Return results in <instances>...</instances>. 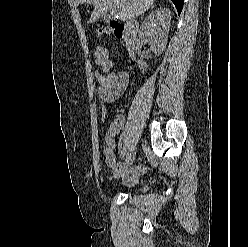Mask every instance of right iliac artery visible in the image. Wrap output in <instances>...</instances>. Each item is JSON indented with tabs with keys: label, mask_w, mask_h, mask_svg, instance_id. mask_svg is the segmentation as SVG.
I'll return each mask as SVG.
<instances>
[{
	"label": "right iliac artery",
	"mask_w": 248,
	"mask_h": 247,
	"mask_svg": "<svg viewBox=\"0 0 248 247\" xmlns=\"http://www.w3.org/2000/svg\"><path fill=\"white\" fill-rule=\"evenodd\" d=\"M127 153V148H124L123 152H122V157H124V155Z\"/></svg>",
	"instance_id": "82829eb1"
}]
</instances>
